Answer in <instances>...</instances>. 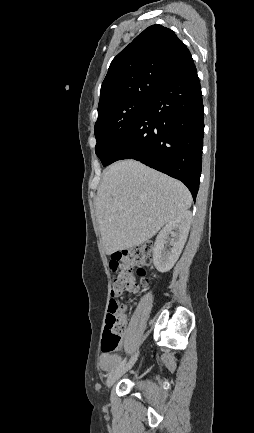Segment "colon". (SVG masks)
Here are the masks:
<instances>
[{
  "label": "colon",
  "mask_w": 254,
  "mask_h": 433,
  "mask_svg": "<svg viewBox=\"0 0 254 433\" xmlns=\"http://www.w3.org/2000/svg\"><path fill=\"white\" fill-rule=\"evenodd\" d=\"M150 255L151 246L145 245L129 249L114 256L111 266L116 273L112 280L114 293L125 291L129 294H136L140 285L146 286L148 284V280L144 277L145 270L141 266L149 261ZM135 269L137 274L142 277L140 283L135 278ZM123 308V305L116 299L112 298L110 300L102 343V351L104 353L116 351L121 344L125 328Z\"/></svg>",
  "instance_id": "1"
}]
</instances>
